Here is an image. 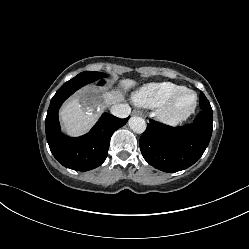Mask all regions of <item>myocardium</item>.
Returning <instances> with one entry per match:
<instances>
[{"label": "myocardium", "instance_id": "f54148a6", "mask_svg": "<svg viewBox=\"0 0 249 249\" xmlns=\"http://www.w3.org/2000/svg\"><path fill=\"white\" fill-rule=\"evenodd\" d=\"M183 93H189L192 96V103L182 111L175 108L177 99ZM198 103V97L195 91L189 88H181L175 91L158 109V117L164 123L175 125L187 120L195 111Z\"/></svg>", "mask_w": 249, "mask_h": 249}]
</instances>
